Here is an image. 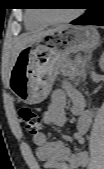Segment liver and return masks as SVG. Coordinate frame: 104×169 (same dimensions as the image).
Masks as SVG:
<instances>
[{
  "label": "liver",
  "mask_w": 104,
  "mask_h": 169,
  "mask_svg": "<svg viewBox=\"0 0 104 169\" xmlns=\"http://www.w3.org/2000/svg\"><path fill=\"white\" fill-rule=\"evenodd\" d=\"M65 26H59L53 29H49L46 31H40V32H36V33H32V34H23L21 36H19L16 41H15V46H14V51H13V63L15 62L19 52L25 48L27 45L34 43L36 41H38L40 38H42L43 36L50 34L58 29H61Z\"/></svg>",
  "instance_id": "obj_1"
}]
</instances>
